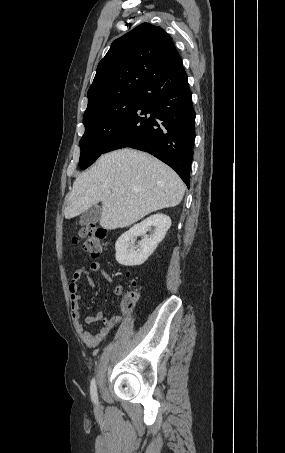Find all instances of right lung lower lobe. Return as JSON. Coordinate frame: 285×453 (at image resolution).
I'll return each mask as SVG.
<instances>
[{
    "label": "right lung lower lobe",
    "instance_id": "1",
    "mask_svg": "<svg viewBox=\"0 0 285 453\" xmlns=\"http://www.w3.org/2000/svg\"><path fill=\"white\" fill-rule=\"evenodd\" d=\"M195 112L182 63L151 80L104 153L130 147L165 162L190 186Z\"/></svg>",
    "mask_w": 285,
    "mask_h": 453
}]
</instances>
